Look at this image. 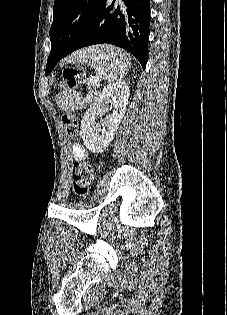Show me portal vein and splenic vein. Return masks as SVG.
<instances>
[{"label": "portal vein and splenic vein", "instance_id": "portal-vein-and-splenic-vein-1", "mask_svg": "<svg viewBox=\"0 0 227 315\" xmlns=\"http://www.w3.org/2000/svg\"><path fill=\"white\" fill-rule=\"evenodd\" d=\"M92 83H94V84H96V85H99L98 79L93 80Z\"/></svg>", "mask_w": 227, "mask_h": 315}]
</instances>
